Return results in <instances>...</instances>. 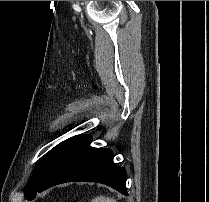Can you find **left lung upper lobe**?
Masks as SVG:
<instances>
[{
  "label": "left lung upper lobe",
  "mask_w": 209,
  "mask_h": 202,
  "mask_svg": "<svg viewBox=\"0 0 209 202\" xmlns=\"http://www.w3.org/2000/svg\"><path fill=\"white\" fill-rule=\"evenodd\" d=\"M65 143V141L61 142L57 146H55L53 149H51L43 159V161L40 163L34 174L29 179L26 187H25V197H29L32 195L33 192L39 187V185L44 180L45 176L47 175L48 170L51 167V164L57 155L59 149L61 146Z\"/></svg>",
  "instance_id": "5c2ea615"
}]
</instances>
